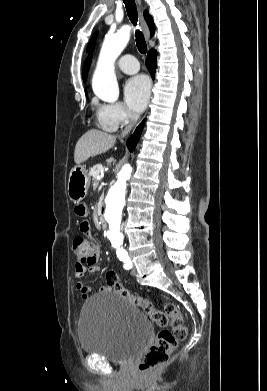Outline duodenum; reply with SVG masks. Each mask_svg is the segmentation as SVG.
Listing matches in <instances>:
<instances>
[{
    "instance_id": "410a0bca",
    "label": "duodenum",
    "mask_w": 267,
    "mask_h": 391,
    "mask_svg": "<svg viewBox=\"0 0 267 391\" xmlns=\"http://www.w3.org/2000/svg\"><path fill=\"white\" fill-rule=\"evenodd\" d=\"M99 224H100L102 229H106L107 223H106V220H105L104 215H103L102 207H100V209H99Z\"/></svg>"
}]
</instances>
